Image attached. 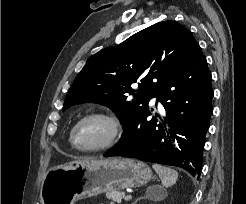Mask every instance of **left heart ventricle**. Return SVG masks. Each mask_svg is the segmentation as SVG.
<instances>
[{
	"label": "left heart ventricle",
	"mask_w": 246,
	"mask_h": 204,
	"mask_svg": "<svg viewBox=\"0 0 246 204\" xmlns=\"http://www.w3.org/2000/svg\"><path fill=\"white\" fill-rule=\"evenodd\" d=\"M109 130V125L103 120H87L77 129V143L82 147H92L98 145L107 137Z\"/></svg>",
	"instance_id": "b2bd125f"
}]
</instances>
